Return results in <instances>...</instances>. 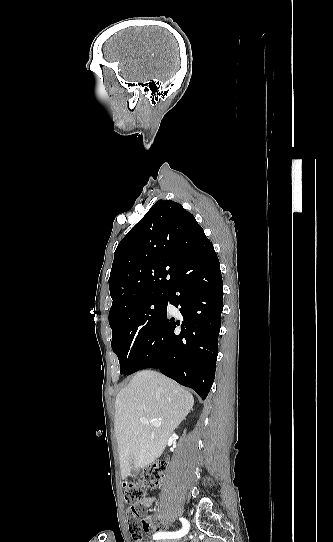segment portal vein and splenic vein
Instances as JSON below:
<instances>
[{"instance_id": "obj_1", "label": "portal vein and splenic vein", "mask_w": 333, "mask_h": 542, "mask_svg": "<svg viewBox=\"0 0 333 542\" xmlns=\"http://www.w3.org/2000/svg\"><path fill=\"white\" fill-rule=\"evenodd\" d=\"M140 422H143V424H147L148 420L147 418H139ZM150 424H153V426H161V422L159 420H151Z\"/></svg>"}]
</instances>
